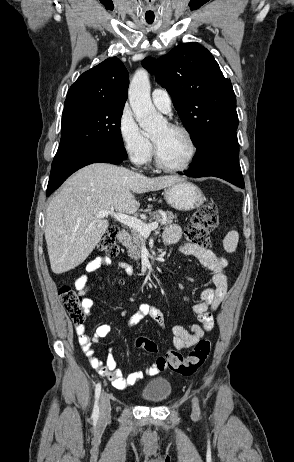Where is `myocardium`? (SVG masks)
<instances>
[{
  "label": "myocardium",
  "mask_w": 294,
  "mask_h": 462,
  "mask_svg": "<svg viewBox=\"0 0 294 462\" xmlns=\"http://www.w3.org/2000/svg\"><path fill=\"white\" fill-rule=\"evenodd\" d=\"M166 124H167V126L169 128L181 131L186 135V137H187V139L189 141V144H190V148H191L190 154H189V157L187 158V160L182 165H179V166L167 165L162 161V159L160 157L158 145H157L156 141L152 138L154 163H155L157 168H159L160 170H163L165 172H182V171H185L192 165V163L194 162V160H195V158L197 156L198 145H197L196 139H195L193 133L190 131V129L187 128L186 126H184L182 124H179V123H174V122H167Z\"/></svg>",
  "instance_id": "obj_1"
}]
</instances>
